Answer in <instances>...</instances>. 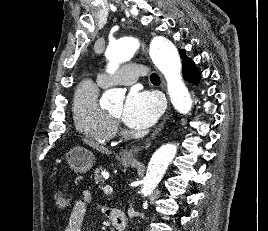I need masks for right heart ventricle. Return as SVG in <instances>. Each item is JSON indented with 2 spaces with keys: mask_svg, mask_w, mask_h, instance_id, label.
I'll return each mask as SVG.
<instances>
[{
  "mask_svg": "<svg viewBox=\"0 0 268 231\" xmlns=\"http://www.w3.org/2000/svg\"><path fill=\"white\" fill-rule=\"evenodd\" d=\"M104 87L99 81H82L73 98L72 114L78 132L92 141L106 144L114 138L116 126L98 102L100 89Z\"/></svg>",
  "mask_w": 268,
  "mask_h": 231,
  "instance_id": "e07e8e85",
  "label": "right heart ventricle"
}]
</instances>
